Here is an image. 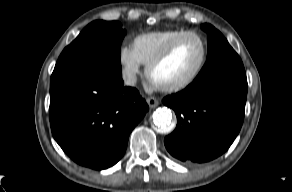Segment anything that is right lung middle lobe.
<instances>
[{
    "instance_id": "1",
    "label": "right lung middle lobe",
    "mask_w": 292,
    "mask_h": 192,
    "mask_svg": "<svg viewBox=\"0 0 292 192\" xmlns=\"http://www.w3.org/2000/svg\"><path fill=\"white\" fill-rule=\"evenodd\" d=\"M125 33L118 21H93L63 50L57 62H98L121 72L120 45Z\"/></svg>"
}]
</instances>
